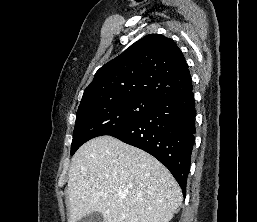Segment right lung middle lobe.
I'll return each mask as SVG.
<instances>
[{
	"label": "right lung middle lobe",
	"instance_id": "right-lung-middle-lobe-1",
	"mask_svg": "<svg viewBox=\"0 0 257 222\" xmlns=\"http://www.w3.org/2000/svg\"><path fill=\"white\" fill-rule=\"evenodd\" d=\"M159 101L142 96L124 99L96 98L80 104L71 145V155L86 141L112 135L133 125Z\"/></svg>",
	"mask_w": 257,
	"mask_h": 222
}]
</instances>
